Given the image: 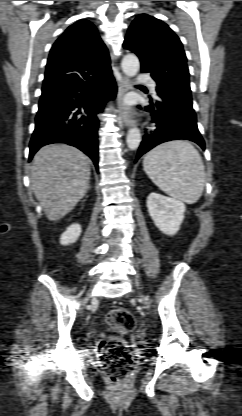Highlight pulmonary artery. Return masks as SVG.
Listing matches in <instances>:
<instances>
[{
    "instance_id": "obj_1",
    "label": "pulmonary artery",
    "mask_w": 242,
    "mask_h": 416,
    "mask_svg": "<svg viewBox=\"0 0 242 416\" xmlns=\"http://www.w3.org/2000/svg\"><path fill=\"white\" fill-rule=\"evenodd\" d=\"M137 79L140 82L147 83L151 87V89H153V90L155 89L156 84H155L154 81H152L150 79V77L148 75L140 74Z\"/></svg>"
}]
</instances>
